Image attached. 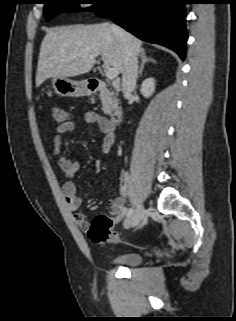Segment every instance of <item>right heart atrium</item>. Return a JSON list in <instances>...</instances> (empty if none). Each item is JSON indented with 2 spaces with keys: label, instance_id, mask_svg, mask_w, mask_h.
<instances>
[{
  "label": "right heart atrium",
  "instance_id": "obj_1",
  "mask_svg": "<svg viewBox=\"0 0 236 321\" xmlns=\"http://www.w3.org/2000/svg\"><path fill=\"white\" fill-rule=\"evenodd\" d=\"M85 8H86L87 10H89V9L91 8V6H90V5H85Z\"/></svg>",
  "mask_w": 236,
  "mask_h": 321
}]
</instances>
